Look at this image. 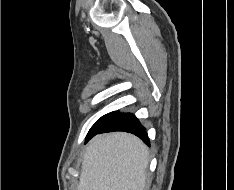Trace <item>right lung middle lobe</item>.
Listing matches in <instances>:
<instances>
[{"instance_id": "dd1d6c3e", "label": "right lung middle lobe", "mask_w": 234, "mask_h": 190, "mask_svg": "<svg viewBox=\"0 0 234 190\" xmlns=\"http://www.w3.org/2000/svg\"><path fill=\"white\" fill-rule=\"evenodd\" d=\"M112 112L111 113H108L104 116H102L90 129L89 132H92L93 130H96L98 128H100L106 121L107 119L111 116Z\"/></svg>"}]
</instances>
